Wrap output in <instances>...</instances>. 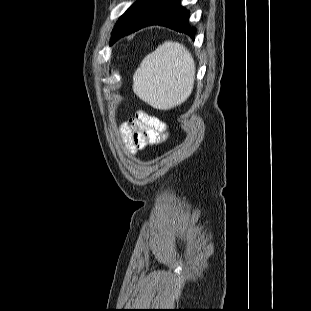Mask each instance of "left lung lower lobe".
<instances>
[{"instance_id":"0a47b994","label":"left lung lower lobe","mask_w":311,"mask_h":311,"mask_svg":"<svg viewBox=\"0 0 311 311\" xmlns=\"http://www.w3.org/2000/svg\"><path fill=\"white\" fill-rule=\"evenodd\" d=\"M190 13L180 0H137L116 23L110 44L147 26L160 25L185 33L192 39L196 28L189 25Z\"/></svg>"}]
</instances>
